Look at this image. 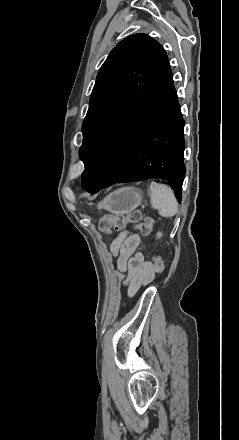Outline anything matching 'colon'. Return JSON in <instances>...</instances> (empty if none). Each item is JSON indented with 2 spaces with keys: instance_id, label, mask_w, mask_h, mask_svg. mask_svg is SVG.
I'll return each mask as SVG.
<instances>
[{
  "instance_id": "obj_1",
  "label": "colon",
  "mask_w": 239,
  "mask_h": 440,
  "mask_svg": "<svg viewBox=\"0 0 239 440\" xmlns=\"http://www.w3.org/2000/svg\"><path fill=\"white\" fill-rule=\"evenodd\" d=\"M140 220V211L133 210L126 215L115 214L101 218L99 221V228L103 232H109L111 229L124 231L129 224H134L135 228H137L143 236L149 235L152 229V219L145 218L142 222H140ZM153 262L155 271L157 273L162 272L163 262L161 258L159 256H154Z\"/></svg>"
}]
</instances>
